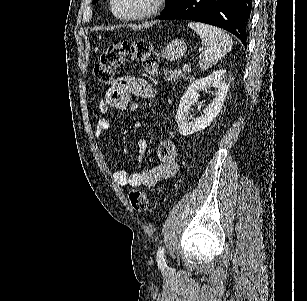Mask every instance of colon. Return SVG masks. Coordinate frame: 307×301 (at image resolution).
Masks as SVG:
<instances>
[{"mask_svg": "<svg viewBox=\"0 0 307 301\" xmlns=\"http://www.w3.org/2000/svg\"><path fill=\"white\" fill-rule=\"evenodd\" d=\"M134 60L140 61L149 74L156 75L158 73L159 58L150 42L124 40L109 45L101 54L94 67V77L100 83H108L119 65ZM129 200L133 209L138 212H143L148 208L149 199L142 190L130 191Z\"/></svg>", "mask_w": 307, "mask_h": 301, "instance_id": "5ec220e1", "label": "colon"}]
</instances>
